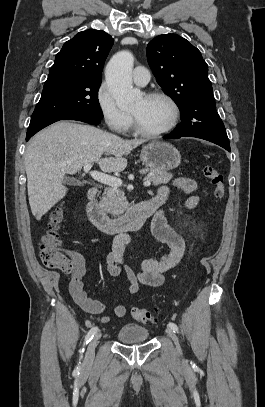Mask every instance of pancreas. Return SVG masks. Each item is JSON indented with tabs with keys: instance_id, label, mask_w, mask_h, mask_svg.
I'll return each instance as SVG.
<instances>
[{
	"instance_id": "pancreas-1",
	"label": "pancreas",
	"mask_w": 265,
	"mask_h": 407,
	"mask_svg": "<svg viewBox=\"0 0 265 407\" xmlns=\"http://www.w3.org/2000/svg\"><path fill=\"white\" fill-rule=\"evenodd\" d=\"M141 173H150L147 180H150L154 186L159 184L168 183L173 175L162 170H152V169H142ZM100 205L110 214L118 216L122 214L129 206L127 199L123 193L118 188L107 187L105 188L104 196L100 201Z\"/></svg>"
}]
</instances>
